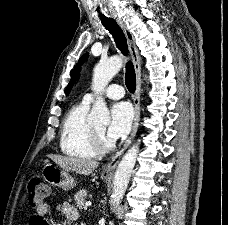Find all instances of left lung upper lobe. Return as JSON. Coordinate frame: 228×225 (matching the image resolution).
<instances>
[{
    "instance_id": "5c2ea615",
    "label": "left lung upper lobe",
    "mask_w": 228,
    "mask_h": 225,
    "mask_svg": "<svg viewBox=\"0 0 228 225\" xmlns=\"http://www.w3.org/2000/svg\"><path fill=\"white\" fill-rule=\"evenodd\" d=\"M87 57H88V53L84 54V55L80 58L78 64L75 66L74 71H73V73H72V78H71V80H70V82H69V84H68V87H67L66 94H69V92H70V90H71V87H72V85H73V83H74V81H75V79H76L77 72H78V70H79V68H80V65H81L82 63H84V61H85V59H86Z\"/></svg>"
}]
</instances>
